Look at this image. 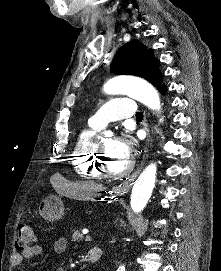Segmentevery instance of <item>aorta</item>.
I'll list each match as a JSON object with an SVG mask.
<instances>
[{
    "label": "aorta",
    "instance_id": "obj_1",
    "mask_svg": "<svg viewBox=\"0 0 221 271\" xmlns=\"http://www.w3.org/2000/svg\"><path fill=\"white\" fill-rule=\"evenodd\" d=\"M110 95L126 94L148 108L160 112V98L155 88L146 81L120 76L110 79L103 87ZM160 121H163L160 119ZM157 167L155 163L148 165L135 181L130 205L135 213H140L147 205L155 186ZM117 271H125V266H119Z\"/></svg>",
    "mask_w": 221,
    "mask_h": 271
}]
</instances>
